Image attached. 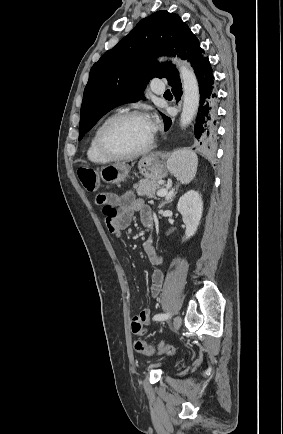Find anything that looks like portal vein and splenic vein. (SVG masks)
Wrapping results in <instances>:
<instances>
[{
  "label": "portal vein and splenic vein",
  "instance_id": "18ae733b",
  "mask_svg": "<svg viewBox=\"0 0 283 434\" xmlns=\"http://www.w3.org/2000/svg\"><path fill=\"white\" fill-rule=\"evenodd\" d=\"M168 194V190L167 189H161L157 192V195L160 197H164Z\"/></svg>",
  "mask_w": 283,
  "mask_h": 434
}]
</instances>
